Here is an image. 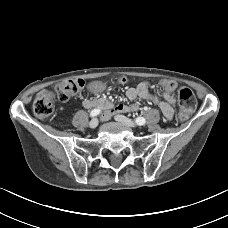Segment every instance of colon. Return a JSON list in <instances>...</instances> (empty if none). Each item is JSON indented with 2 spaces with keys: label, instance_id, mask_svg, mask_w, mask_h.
I'll return each mask as SVG.
<instances>
[{
  "label": "colon",
  "instance_id": "obj_1",
  "mask_svg": "<svg viewBox=\"0 0 228 228\" xmlns=\"http://www.w3.org/2000/svg\"><path fill=\"white\" fill-rule=\"evenodd\" d=\"M120 83H126L125 78L118 80ZM161 87L167 92H174L177 88L176 83L170 79H163L160 81ZM84 86L82 79H66L55 87V93L59 100L67 101L77 93H79ZM179 106L180 118L187 119L197 106V100L194 93L187 87H180L176 91ZM54 95L50 91H42L37 94L33 102V112L36 117L41 120L49 118L53 112Z\"/></svg>",
  "mask_w": 228,
  "mask_h": 228
}]
</instances>
